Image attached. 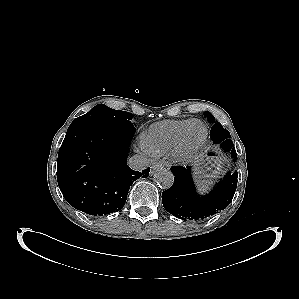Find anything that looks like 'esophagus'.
<instances>
[{
	"mask_svg": "<svg viewBox=\"0 0 299 299\" xmlns=\"http://www.w3.org/2000/svg\"><path fill=\"white\" fill-rule=\"evenodd\" d=\"M164 165L162 163H154L151 166V174H153L156 170L163 169Z\"/></svg>",
	"mask_w": 299,
	"mask_h": 299,
	"instance_id": "obj_1",
	"label": "esophagus"
}]
</instances>
